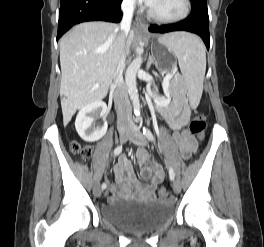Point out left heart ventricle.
I'll list each match as a JSON object with an SVG mask.
<instances>
[{
	"mask_svg": "<svg viewBox=\"0 0 264 247\" xmlns=\"http://www.w3.org/2000/svg\"><path fill=\"white\" fill-rule=\"evenodd\" d=\"M152 8L160 16L172 17L182 12L183 3L182 0H158Z\"/></svg>",
	"mask_w": 264,
	"mask_h": 247,
	"instance_id": "left-heart-ventricle-1",
	"label": "left heart ventricle"
}]
</instances>
